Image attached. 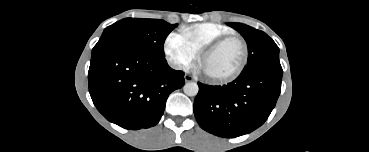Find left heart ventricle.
Wrapping results in <instances>:
<instances>
[{
	"instance_id": "b2bd125f",
	"label": "left heart ventricle",
	"mask_w": 369,
	"mask_h": 152,
	"mask_svg": "<svg viewBox=\"0 0 369 152\" xmlns=\"http://www.w3.org/2000/svg\"><path fill=\"white\" fill-rule=\"evenodd\" d=\"M243 57V49L238 41H229L208 54L201 61L202 71L212 77L226 76L235 71Z\"/></svg>"
}]
</instances>
